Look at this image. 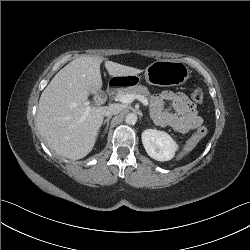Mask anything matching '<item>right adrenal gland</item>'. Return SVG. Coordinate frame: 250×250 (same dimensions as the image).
Instances as JSON below:
<instances>
[{
    "mask_svg": "<svg viewBox=\"0 0 250 250\" xmlns=\"http://www.w3.org/2000/svg\"><path fill=\"white\" fill-rule=\"evenodd\" d=\"M110 119H111V117H107V118L104 120V122H103V125L106 124V129H105V133H104L102 136H104V135L107 133V131H108Z\"/></svg>",
    "mask_w": 250,
    "mask_h": 250,
    "instance_id": "obj_1",
    "label": "right adrenal gland"
}]
</instances>
